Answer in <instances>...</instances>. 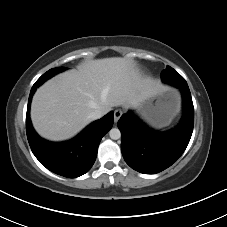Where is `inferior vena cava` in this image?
<instances>
[{
  "label": "inferior vena cava",
  "instance_id": "obj_1",
  "mask_svg": "<svg viewBox=\"0 0 227 227\" xmlns=\"http://www.w3.org/2000/svg\"><path fill=\"white\" fill-rule=\"evenodd\" d=\"M106 112L102 111V110H95L93 111L89 117L92 119V120H97L99 118H101L103 115H105Z\"/></svg>",
  "mask_w": 227,
  "mask_h": 227
}]
</instances>
